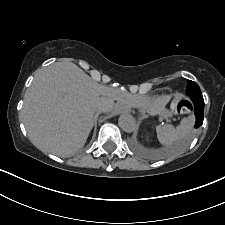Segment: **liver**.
Masks as SVG:
<instances>
[{
	"mask_svg": "<svg viewBox=\"0 0 225 225\" xmlns=\"http://www.w3.org/2000/svg\"><path fill=\"white\" fill-rule=\"evenodd\" d=\"M114 101L130 107L147 104L139 96L98 84L72 62H56L35 74L24 96L22 121L37 148L67 157L86 143L98 106L109 111Z\"/></svg>",
	"mask_w": 225,
	"mask_h": 225,
	"instance_id": "obj_1",
	"label": "liver"
}]
</instances>
